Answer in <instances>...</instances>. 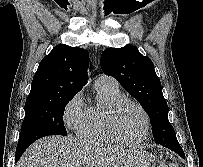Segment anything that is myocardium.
I'll return each mask as SVG.
<instances>
[{
	"mask_svg": "<svg viewBox=\"0 0 203 167\" xmlns=\"http://www.w3.org/2000/svg\"><path fill=\"white\" fill-rule=\"evenodd\" d=\"M126 105H132V106L136 107L142 113L143 118H144V133H143L142 137L136 141H129V140L124 139L119 134L117 127H116L117 117H118L119 113L121 112V110ZM150 124H151L150 117H149V114L147 113L146 109L137 101L126 98V97L121 98L115 102L112 109L108 113V115L106 117V122H105L106 129H107L108 133L112 136V138H114L120 144H124L127 146H138V145H141L142 143H144L149 136Z\"/></svg>",
	"mask_w": 203,
	"mask_h": 167,
	"instance_id": "f54148a6",
	"label": "myocardium"
}]
</instances>
